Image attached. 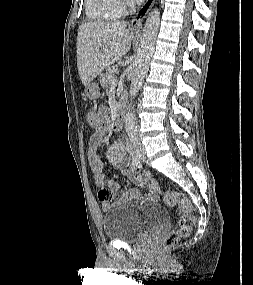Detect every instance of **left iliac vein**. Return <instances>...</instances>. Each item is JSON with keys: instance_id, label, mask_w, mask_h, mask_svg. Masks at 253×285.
Instances as JSON below:
<instances>
[{"instance_id": "1", "label": "left iliac vein", "mask_w": 253, "mask_h": 285, "mask_svg": "<svg viewBox=\"0 0 253 285\" xmlns=\"http://www.w3.org/2000/svg\"><path fill=\"white\" fill-rule=\"evenodd\" d=\"M138 151V158L142 161H145L146 159V154H145V149L142 145H139L137 148Z\"/></svg>"}]
</instances>
